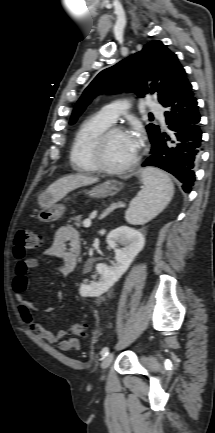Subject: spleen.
<instances>
[{"label":"spleen","mask_w":215,"mask_h":433,"mask_svg":"<svg viewBox=\"0 0 215 433\" xmlns=\"http://www.w3.org/2000/svg\"><path fill=\"white\" fill-rule=\"evenodd\" d=\"M141 181L144 188L130 203L125 213L131 224H145L157 216L171 201L174 186L170 177L163 171L147 167L142 170Z\"/></svg>","instance_id":"3e777b00"}]
</instances>
